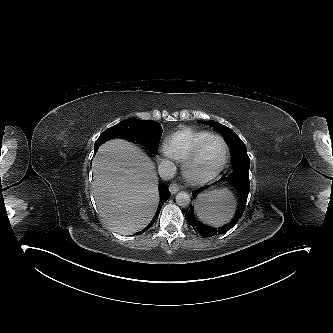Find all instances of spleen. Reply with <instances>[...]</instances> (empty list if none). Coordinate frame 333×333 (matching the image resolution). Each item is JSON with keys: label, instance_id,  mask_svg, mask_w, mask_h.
Returning a JSON list of instances; mask_svg holds the SVG:
<instances>
[{"label": "spleen", "instance_id": "spleen-1", "mask_svg": "<svg viewBox=\"0 0 333 333\" xmlns=\"http://www.w3.org/2000/svg\"><path fill=\"white\" fill-rule=\"evenodd\" d=\"M234 208V196L227 188L200 195L195 207L198 218L214 226L226 223L232 217Z\"/></svg>", "mask_w": 333, "mask_h": 333}]
</instances>
